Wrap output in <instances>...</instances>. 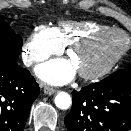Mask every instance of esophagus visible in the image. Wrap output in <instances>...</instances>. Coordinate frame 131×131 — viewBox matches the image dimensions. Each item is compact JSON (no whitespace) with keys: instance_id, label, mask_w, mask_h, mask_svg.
Listing matches in <instances>:
<instances>
[{"instance_id":"esophagus-1","label":"esophagus","mask_w":131,"mask_h":131,"mask_svg":"<svg viewBox=\"0 0 131 131\" xmlns=\"http://www.w3.org/2000/svg\"><path fill=\"white\" fill-rule=\"evenodd\" d=\"M55 89L54 88H51V87H48V86H46L45 88H44V93L46 94V95H52L53 93H55Z\"/></svg>"}]
</instances>
